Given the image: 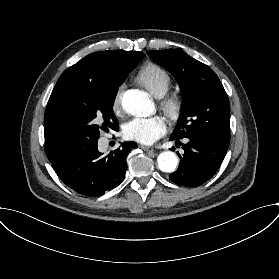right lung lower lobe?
Returning <instances> with one entry per match:
<instances>
[{
	"instance_id": "1",
	"label": "right lung lower lobe",
	"mask_w": 279,
	"mask_h": 279,
	"mask_svg": "<svg viewBox=\"0 0 279 279\" xmlns=\"http://www.w3.org/2000/svg\"><path fill=\"white\" fill-rule=\"evenodd\" d=\"M97 143L98 140L50 161L68 187L88 197L103 195L124 180L126 157L130 149L137 147L135 142H125L121 148L102 157Z\"/></svg>"
}]
</instances>
